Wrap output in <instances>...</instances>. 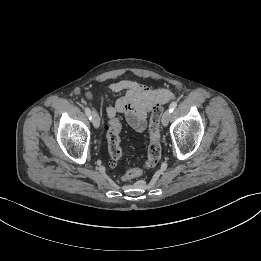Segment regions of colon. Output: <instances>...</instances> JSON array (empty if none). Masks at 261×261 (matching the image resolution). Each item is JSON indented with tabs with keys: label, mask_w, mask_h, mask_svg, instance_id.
Here are the masks:
<instances>
[{
	"label": "colon",
	"mask_w": 261,
	"mask_h": 261,
	"mask_svg": "<svg viewBox=\"0 0 261 261\" xmlns=\"http://www.w3.org/2000/svg\"><path fill=\"white\" fill-rule=\"evenodd\" d=\"M163 107L161 104H156L153 107L149 121V138L150 142L147 150V160L144 163V168L154 167L161 158L160 144V118ZM121 122L118 118L110 119L106 127V137L108 141L109 164L115 166L122 156V148L120 144ZM142 169L133 168L127 171L124 176V181H129L141 175Z\"/></svg>",
	"instance_id": "5ec220e1"
}]
</instances>
